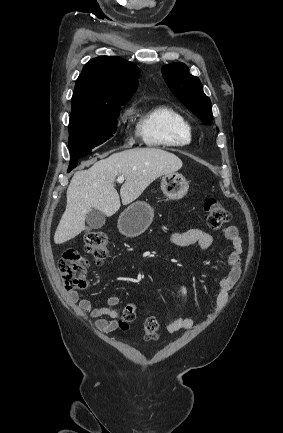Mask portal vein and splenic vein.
Returning <instances> with one entry per match:
<instances>
[{
  "label": "portal vein and splenic vein",
  "mask_w": 283,
  "mask_h": 433,
  "mask_svg": "<svg viewBox=\"0 0 283 433\" xmlns=\"http://www.w3.org/2000/svg\"><path fill=\"white\" fill-rule=\"evenodd\" d=\"M125 176H118L117 182H124Z\"/></svg>",
  "instance_id": "obj_1"
}]
</instances>
